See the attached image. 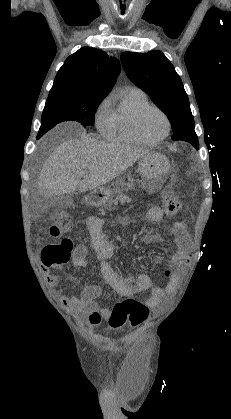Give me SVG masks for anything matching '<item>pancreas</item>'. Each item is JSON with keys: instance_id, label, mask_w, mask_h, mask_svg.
<instances>
[{"instance_id": "obj_1", "label": "pancreas", "mask_w": 231, "mask_h": 419, "mask_svg": "<svg viewBox=\"0 0 231 419\" xmlns=\"http://www.w3.org/2000/svg\"><path fill=\"white\" fill-rule=\"evenodd\" d=\"M119 185L120 186L118 187V190H117V192H118L117 197H116L115 200L112 201V203L114 205H117L118 204V201L121 204H124L126 202H130L131 201V199L128 196H126L125 194H123V191L130 189L132 187V185L126 184V183H123V182L119 183ZM125 186H127V189L125 188ZM109 205H110V203H109Z\"/></svg>"}]
</instances>
